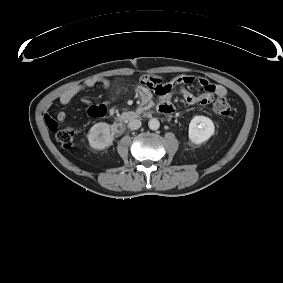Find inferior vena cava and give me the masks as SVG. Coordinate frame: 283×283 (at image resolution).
Listing matches in <instances>:
<instances>
[{"label": "inferior vena cava", "mask_w": 283, "mask_h": 283, "mask_svg": "<svg viewBox=\"0 0 283 283\" xmlns=\"http://www.w3.org/2000/svg\"><path fill=\"white\" fill-rule=\"evenodd\" d=\"M141 121L139 119H133L128 123V127L131 130H137L141 127Z\"/></svg>", "instance_id": "1"}]
</instances>
